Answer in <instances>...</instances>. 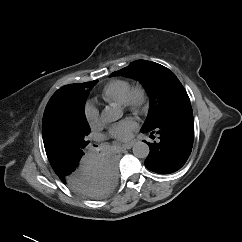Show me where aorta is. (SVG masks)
<instances>
[{"instance_id": "obj_1", "label": "aorta", "mask_w": 242, "mask_h": 242, "mask_svg": "<svg viewBox=\"0 0 242 242\" xmlns=\"http://www.w3.org/2000/svg\"><path fill=\"white\" fill-rule=\"evenodd\" d=\"M122 111L115 106H106L102 112L100 119L104 123H112L122 117ZM133 154L137 158H147L150 152L149 146L141 141L136 142L132 148Z\"/></svg>"}]
</instances>
